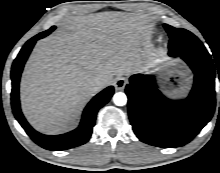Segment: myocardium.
<instances>
[{"instance_id":"obj_1","label":"myocardium","mask_w":220,"mask_h":173,"mask_svg":"<svg viewBox=\"0 0 220 173\" xmlns=\"http://www.w3.org/2000/svg\"><path fill=\"white\" fill-rule=\"evenodd\" d=\"M161 53H162L161 50L157 51V52L154 54V58L160 57V56H161Z\"/></svg>"}]
</instances>
